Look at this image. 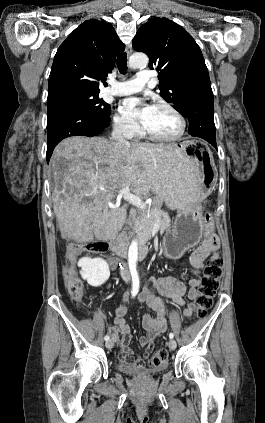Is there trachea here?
Masks as SVG:
<instances>
[{
	"mask_svg": "<svg viewBox=\"0 0 265 423\" xmlns=\"http://www.w3.org/2000/svg\"><path fill=\"white\" fill-rule=\"evenodd\" d=\"M117 67L121 74H125L127 71V54L121 53L117 57Z\"/></svg>",
	"mask_w": 265,
	"mask_h": 423,
	"instance_id": "1",
	"label": "trachea"
}]
</instances>
